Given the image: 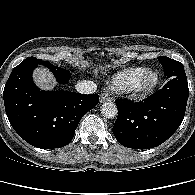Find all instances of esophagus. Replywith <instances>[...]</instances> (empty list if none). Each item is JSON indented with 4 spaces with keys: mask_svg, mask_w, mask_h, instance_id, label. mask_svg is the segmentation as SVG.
Returning a JSON list of instances; mask_svg holds the SVG:
<instances>
[{
    "mask_svg": "<svg viewBox=\"0 0 195 195\" xmlns=\"http://www.w3.org/2000/svg\"><path fill=\"white\" fill-rule=\"evenodd\" d=\"M112 98L107 94V93H102L100 95V102L103 103V102H108V101H111Z\"/></svg>",
    "mask_w": 195,
    "mask_h": 195,
    "instance_id": "esophagus-1",
    "label": "esophagus"
}]
</instances>
